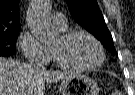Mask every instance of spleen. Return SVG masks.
Instances as JSON below:
<instances>
[{
    "label": "spleen",
    "mask_w": 135,
    "mask_h": 95,
    "mask_svg": "<svg viewBox=\"0 0 135 95\" xmlns=\"http://www.w3.org/2000/svg\"><path fill=\"white\" fill-rule=\"evenodd\" d=\"M113 95H122L120 91H115Z\"/></svg>",
    "instance_id": "3e777b00"
}]
</instances>
